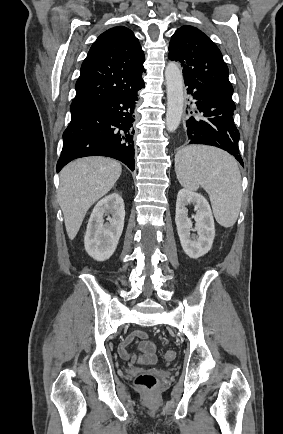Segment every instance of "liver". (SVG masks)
<instances>
[{
	"instance_id": "1",
	"label": "liver",
	"mask_w": 283,
	"mask_h": 434,
	"mask_svg": "<svg viewBox=\"0 0 283 434\" xmlns=\"http://www.w3.org/2000/svg\"><path fill=\"white\" fill-rule=\"evenodd\" d=\"M121 172L119 162L97 156L77 159L62 169L58 203L70 240L76 237L88 209L112 189Z\"/></svg>"
}]
</instances>
